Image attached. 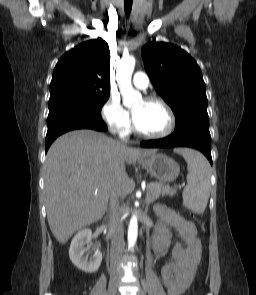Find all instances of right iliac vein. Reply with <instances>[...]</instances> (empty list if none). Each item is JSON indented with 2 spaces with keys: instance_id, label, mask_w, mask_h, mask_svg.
Instances as JSON below:
<instances>
[{
  "instance_id": "right-iliac-vein-1",
  "label": "right iliac vein",
  "mask_w": 256,
  "mask_h": 295,
  "mask_svg": "<svg viewBox=\"0 0 256 295\" xmlns=\"http://www.w3.org/2000/svg\"><path fill=\"white\" fill-rule=\"evenodd\" d=\"M120 274H113L109 281L108 292L107 295H115L117 285L119 282Z\"/></svg>"
}]
</instances>
